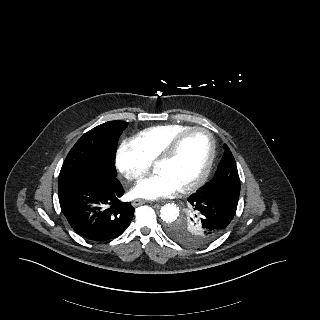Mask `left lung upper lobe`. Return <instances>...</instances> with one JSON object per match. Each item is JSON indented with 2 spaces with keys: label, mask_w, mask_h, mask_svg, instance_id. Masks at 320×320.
I'll return each mask as SVG.
<instances>
[{
  "label": "left lung upper lobe",
  "mask_w": 320,
  "mask_h": 320,
  "mask_svg": "<svg viewBox=\"0 0 320 320\" xmlns=\"http://www.w3.org/2000/svg\"><path fill=\"white\" fill-rule=\"evenodd\" d=\"M223 147L225 153L215 176L202 189L210 193H224L239 198L240 179L236 162L229 147L226 144ZM168 233L174 240L187 246H198L211 241L204 233L200 214L192 205L189 206L182 220L169 224Z\"/></svg>",
  "instance_id": "1"
}]
</instances>
